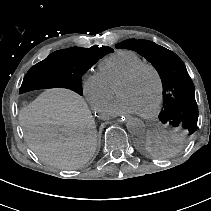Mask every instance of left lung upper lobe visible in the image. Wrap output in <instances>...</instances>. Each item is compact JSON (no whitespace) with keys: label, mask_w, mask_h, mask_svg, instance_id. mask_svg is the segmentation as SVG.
<instances>
[{"label":"left lung upper lobe","mask_w":211,"mask_h":211,"mask_svg":"<svg viewBox=\"0 0 211 211\" xmlns=\"http://www.w3.org/2000/svg\"><path fill=\"white\" fill-rule=\"evenodd\" d=\"M116 48L136 51L158 71L163 84V109L159 120L185 140L197 127L198 106L194 84L182 60L172 51L148 40L128 39Z\"/></svg>","instance_id":"1"}]
</instances>
